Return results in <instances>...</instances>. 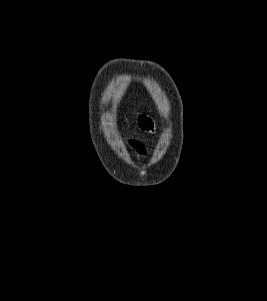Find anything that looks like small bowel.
<instances>
[{"instance_id":"small-bowel-1","label":"small bowel","mask_w":267,"mask_h":301,"mask_svg":"<svg viewBox=\"0 0 267 301\" xmlns=\"http://www.w3.org/2000/svg\"><path fill=\"white\" fill-rule=\"evenodd\" d=\"M138 125L139 128L142 131L146 132H153L154 130V124L152 119L147 115H140L138 119ZM130 146L139 154H145L146 153V147L144 144L138 140H131L129 142Z\"/></svg>"}]
</instances>
